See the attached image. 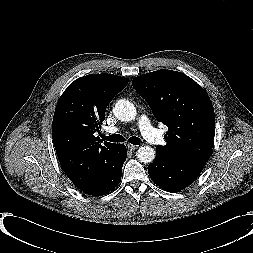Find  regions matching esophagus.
Segmentation results:
<instances>
[{
  "mask_svg": "<svg viewBox=\"0 0 253 253\" xmlns=\"http://www.w3.org/2000/svg\"><path fill=\"white\" fill-rule=\"evenodd\" d=\"M127 148H128L130 151H134V150H136V149L138 148V146L132 145V144H128V145H127Z\"/></svg>",
  "mask_w": 253,
  "mask_h": 253,
  "instance_id": "1",
  "label": "esophagus"
}]
</instances>
